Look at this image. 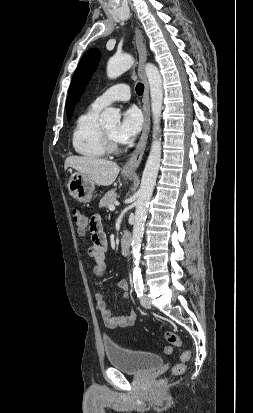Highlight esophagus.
Instances as JSON below:
<instances>
[{"mask_svg":"<svg viewBox=\"0 0 253 413\" xmlns=\"http://www.w3.org/2000/svg\"><path fill=\"white\" fill-rule=\"evenodd\" d=\"M135 42L139 54V76L144 83V93H143V112H144V123L142 128V133L140 139L132 152L131 156L123 166V173L126 174H135L137 168L139 167L142 157L147 145V140L150 131L151 124V113H150V97H149V84L145 74L144 65L147 60V48L144 36L140 28L135 26Z\"/></svg>","mask_w":253,"mask_h":413,"instance_id":"esophagus-1","label":"esophagus"}]
</instances>
